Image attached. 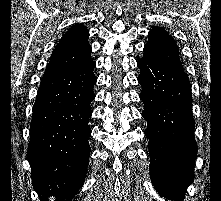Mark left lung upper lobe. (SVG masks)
<instances>
[{"mask_svg":"<svg viewBox=\"0 0 221 201\" xmlns=\"http://www.w3.org/2000/svg\"><path fill=\"white\" fill-rule=\"evenodd\" d=\"M143 51V57L184 70L179 58L178 46L162 27L156 26L149 31V39Z\"/></svg>","mask_w":221,"mask_h":201,"instance_id":"obj_1","label":"left lung upper lobe"}]
</instances>
